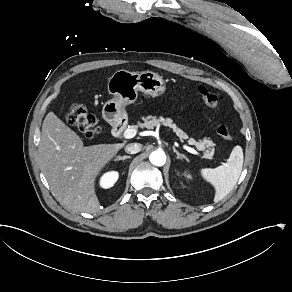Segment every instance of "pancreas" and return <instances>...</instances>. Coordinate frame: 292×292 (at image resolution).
I'll list each match as a JSON object with an SVG mask.
<instances>
[{"label":"pancreas","instance_id":"obj_1","mask_svg":"<svg viewBox=\"0 0 292 292\" xmlns=\"http://www.w3.org/2000/svg\"><path fill=\"white\" fill-rule=\"evenodd\" d=\"M159 123H162L164 126H169V127L173 128V130L176 132V134L179 138L188 139L187 136L182 134L180 129L176 128V126L174 124H172L171 119H165L163 117H160V118L154 119V120H147V121H145V123H142L141 126H145L147 128H152L153 126H158ZM189 144H194L198 148H203L206 144L211 145L212 142H211V140H205L201 143H196L194 140H189Z\"/></svg>","mask_w":292,"mask_h":292}]
</instances>
